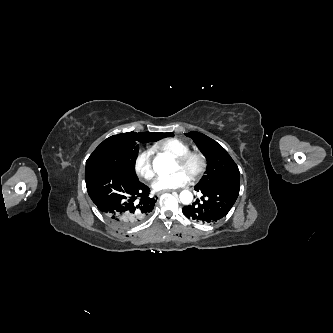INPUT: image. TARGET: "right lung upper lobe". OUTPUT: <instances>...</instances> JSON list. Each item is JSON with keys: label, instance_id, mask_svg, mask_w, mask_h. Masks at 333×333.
<instances>
[{"label": "right lung upper lobe", "instance_id": "1", "mask_svg": "<svg viewBox=\"0 0 333 333\" xmlns=\"http://www.w3.org/2000/svg\"><path fill=\"white\" fill-rule=\"evenodd\" d=\"M126 136L133 139L135 142H146L148 139H151L153 141L159 140V138L156 136L157 133H135V132H128L125 133Z\"/></svg>", "mask_w": 333, "mask_h": 333}]
</instances>
